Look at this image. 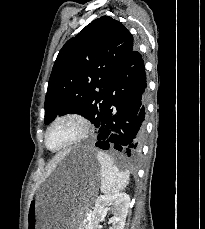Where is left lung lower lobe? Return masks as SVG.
<instances>
[{"mask_svg":"<svg viewBox=\"0 0 205 229\" xmlns=\"http://www.w3.org/2000/svg\"><path fill=\"white\" fill-rule=\"evenodd\" d=\"M146 88L144 61L133 49L108 90V102L96 137L97 147L116 149L131 158L140 154L145 131Z\"/></svg>","mask_w":205,"mask_h":229,"instance_id":"left-lung-lower-lobe-1","label":"left lung lower lobe"}]
</instances>
